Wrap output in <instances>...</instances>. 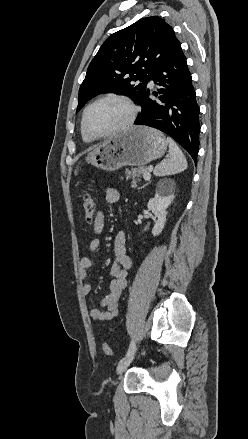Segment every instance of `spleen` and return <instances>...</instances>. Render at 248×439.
Here are the masks:
<instances>
[{
    "mask_svg": "<svg viewBox=\"0 0 248 439\" xmlns=\"http://www.w3.org/2000/svg\"><path fill=\"white\" fill-rule=\"evenodd\" d=\"M167 141L169 143V155L155 167L153 171L155 176L174 175L187 169L186 158L178 145L171 138H167Z\"/></svg>",
    "mask_w": 248,
    "mask_h": 439,
    "instance_id": "spleen-1",
    "label": "spleen"
}]
</instances>
